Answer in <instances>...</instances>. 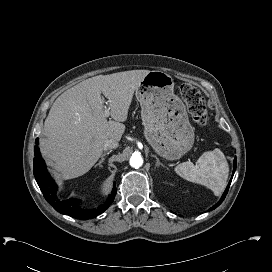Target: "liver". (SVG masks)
I'll return each mask as SVG.
<instances>
[{
    "instance_id": "obj_1",
    "label": "liver",
    "mask_w": 272,
    "mask_h": 272,
    "mask_svg": "<svg viewBox=\"0 0 272 272\" xmlns=\"http://www.w3.org/2000/svg\"><path fill=\"white\" fill-rule=\"evenodd\" d=\"M149 70H131L86 79L53 103L40 140L42 156L62 179L87 173L102 156L107 139L120 141L134 91ZM108 99L110 116H104Z\"/></svg>"
}]
</instances>
